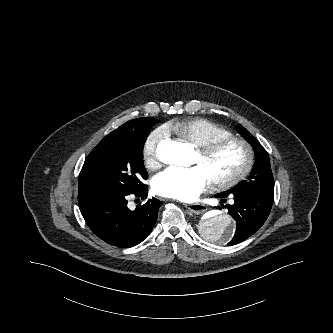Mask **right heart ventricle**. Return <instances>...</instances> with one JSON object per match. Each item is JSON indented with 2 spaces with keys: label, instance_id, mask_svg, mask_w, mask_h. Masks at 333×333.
<instances>
[{
  "label": "right heart ventricle",
  "instance_id": "obj_1",
  "mask_svg": "<svg viewBox=\"0 0 333 333\" xmlns=\"http://www.w3.org/2000/svg\"><path fill=\"white\" fill-rule=\"evenodd\" d=\"M166 129L178 140L197 147L231 136V132L225 127L203 118L174 119L166 125Z\"/></svg>",
  "mask_w": 333,
  "mask_h": 333
}]
</instances>
